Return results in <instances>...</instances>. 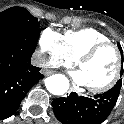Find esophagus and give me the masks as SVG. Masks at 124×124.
I'll use <instances>...</instances> for the list:
<instances>
[{"mask_svg":"<svg viewBox=\"0 0 124 124\" xmlns=\"http://www.w3.org/2000/svg\"><path fill=\"white\" fill-rule=\"evenodd\" d=\"M73 91H75V90L71 88V89L68 91V93L73 92Z\"/></svg>","mask_w":124,"mask_h":124,"instance_id":"34e87169","label":"esophagus"}]
</instances>
